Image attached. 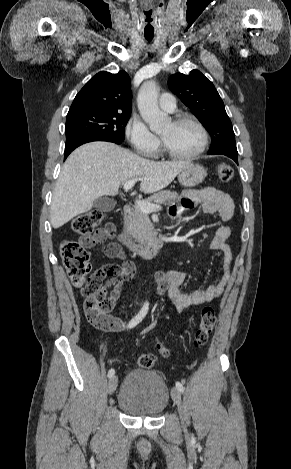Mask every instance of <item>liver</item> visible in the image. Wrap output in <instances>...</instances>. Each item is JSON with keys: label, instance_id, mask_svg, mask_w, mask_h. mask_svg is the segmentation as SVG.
Segmentation results:
<instances>
[{"label": "liver", "instance_id": "6515ba94", "mask_svg": "<svg viewBox=\"0 0 291 469\" xmlns=\"http://www.w3.org/2000/svg\"><path fill=\"white\" fill-rule=\"evenodd\" d=\"M189 161L157 162L109 142L80 146L65 161L51 202V224L57 229L91 210L104 195L115 196L119 187L140 178V191L153 193L167 187Z\"/></svg>", "mask_w": 291, "mask_h": 469}]
</instances>
